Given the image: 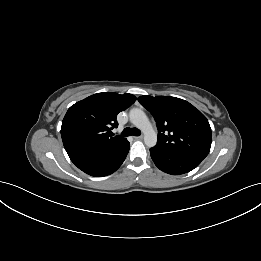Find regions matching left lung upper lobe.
Wrapping results in <instances>:
<instances>
[{"mask_svg": "<svg viewBox=\"0 0 261 261\" xmlns=\"http://www.w3.org/2000/svg\"><path fill=\"white\" fill-rule=\"evenodd\" d=\"M138 101L151 112L158 128V147L203 160L212 141L207 118L189 102L171 96H140Z\"/></svg>", "mask_w": 261, "mask_h": 261, "instance_id": "5c2ea615", "label": "left lung upper lobe"}]
</instances>
